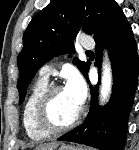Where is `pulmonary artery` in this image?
<instances>
[{
	"label": "pulmonary artery",
	"mask_w": 139,
	"mask_h": 150,
	"mask_svg": "<svg viewBox=\"0 0 139 150\" xmlns=\"http://www.w3.org/2000/svg\"><path fill=\"white\" fill-rule=\"evenodd\" d=\"M81 46L85 50H91L94 48L95 43L90 37H85L81 40ZM52 71L53 69L51 66L45 65L39 71L40 77L44 79H48Z\"/></svg>",
	"instance_id": "obj_1"
}]
</instances>
